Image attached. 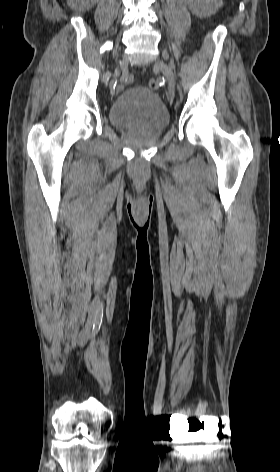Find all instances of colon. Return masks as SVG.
Masks as SVG:
<instances>
[{
    "mask_svg": "<svg viewBox=\"0 0 280 472\" xmlns=\"http://www.w3.org/2000/svg\"><path fill=\"white\" fill-rule=\"evenodd\" d=\"M148 86L151 88V89H157L159 87V83L156 79L154 78H151L149 79L148 81Z\"/></svg>",
    "mask_w": 280,
    "mask_h": 472,
    "instance_id": "1",
    "label": "colon"
}]
</instances>
